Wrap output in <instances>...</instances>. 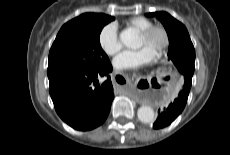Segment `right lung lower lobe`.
<instances>
[{"label": "right lung lower lobe", "mask_w": 230, "mask_h": 155, "mask_svg": "<svg viewBox=\"0 0 230 155\" xmlns=\"http://www.w3.org/2000/svg\"><path fill=\"white\" fill-rule=\"evenodd\" d=\"M112 65L99 68L57 69L47 72L49 92L61 119L76 130L100 126L107 118L114 98L108 74ZM108 76L99 84L98 78Z\"/></svg>", "instance_id": "right-lung-lower-lobe-1"}]
</instances>
